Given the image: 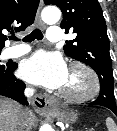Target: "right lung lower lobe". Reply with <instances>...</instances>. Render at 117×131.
<instances>
[{
  "instance_id": "right-lung-lower-lobe-1",
  "label": "right lung lower lobe",
  "mask_w": 117,
  "mask_h": 131,
  "mask_svg": "<svg viewBox=\"0 0 117 131\" xmlns=\"http://www.w3.org/2000/svg\"><path fill=\"white\" fill-rule=\"evenodd\" d=\"M16 69L17 63H8L0 67V95L12 98L23 105H28L23 95L26 86L13 74Z\"/></svg>"
}]
</instances>
